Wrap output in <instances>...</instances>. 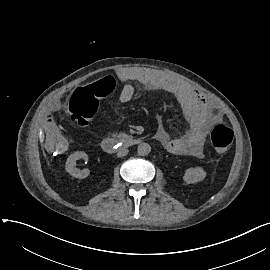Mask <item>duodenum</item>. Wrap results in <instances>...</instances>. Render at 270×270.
<instances>
[{"instance_id": "duodenum-1", "label": "duodenum", "mask_w": 270, "mask_h": 270, "mask_svg": "<svg viewBox=\"0 0 270 270\" xmlns=\"http://www.w3.org/2000/svg\"><path fill=\"white\" fill-rule=\"evenodd\" d=\"M140 143V139L129 136V135H122V136H115V137H107L105 138L102 143V149L107 153H113L119 149L134 146Z\"/></svg>"}]
</instances>
